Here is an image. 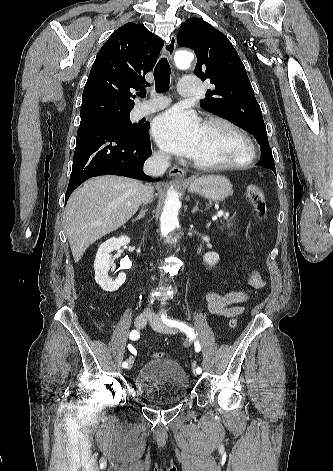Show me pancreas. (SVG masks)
Segmentation results:
<instances>
[{"mask_svg":"<svg viewBox=\"0 0 333 471\" xmlns=\"http://www.w3.org/2000/svg\"><path fill=\"white\" fill-rule=\"evenodd\" d=\"M234 222H235L234 217H225L223 220L220 221V224L218 226L221 230L223 229L230 230L234 228Z\"/></svg>","mask_w":333,"mask_h":471,"instance_id":"pancreas-1","label":"pancreas"}]
</instances>
